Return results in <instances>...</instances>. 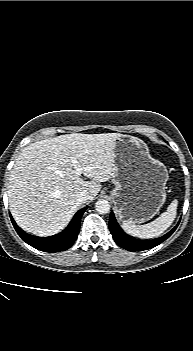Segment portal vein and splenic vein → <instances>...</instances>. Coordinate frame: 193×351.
<instances>
[{"mask_svg": "<svg viewBox=\"0 0 193 351\" xmlns=\"http://www.w3.org/2000/svg\"><path fill=\"white\" fill-rule=\"evenodd\" d=\"M71 163L76 171V174L78 176H80L84 169L79 165V163L75 157H71Z\"/></svg>", "mask_w": 193, "mask_h": 351, "instance_id": "1", "label": "portal vein and splenic vein"}]
</instances>
